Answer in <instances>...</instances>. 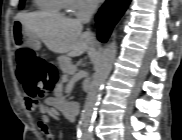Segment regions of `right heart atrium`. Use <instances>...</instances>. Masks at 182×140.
<instances>
[{
	"mask_svg": "<svg viewBox=\"0 0 182 140\" xmlns=\"http://www.w3.org/2000/svg\"><path fill=\"white\" fill-rule=\"evenodd\" d=\"M94 4L89 0H67L66 10L74 15L90 12Z\"/></svg>",
	"mask_w": 182,
	"mask_h": 140,
	"instance_id": "obj_1",
	"label": "right heart atrium"
}]
</instances>
